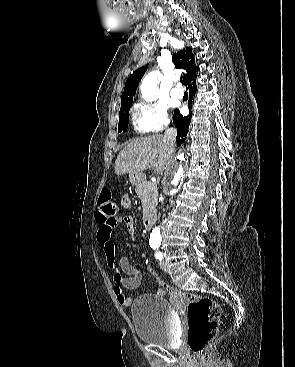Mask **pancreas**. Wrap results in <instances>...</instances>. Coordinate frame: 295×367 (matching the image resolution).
Here are the masks:
<instances>
[{
    "mask_svg": "<svg viewBox=\"0 0 295 367\" xmlns=\"http://www.w3.org/2000/svg\"><path fill=\"white\" fill-rule=\"evenodd\" d=\"M135 192L142 202L143 216L155 211L158 196L155 183L144 180L136 186Z\"/></svg>",
    "mask_w": 295,
    "mask_h": 367,
    "instance_id": "cf45deb5",
    "label": "pancreas"
}]
</instances>
